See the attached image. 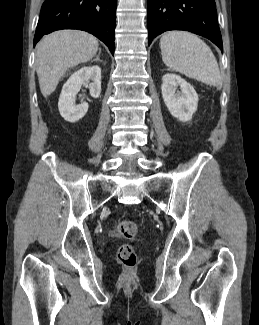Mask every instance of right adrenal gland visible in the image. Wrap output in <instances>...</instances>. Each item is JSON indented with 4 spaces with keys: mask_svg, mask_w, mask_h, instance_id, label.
<instances>
[{
    "mask_svg": "<svg viewBox=\"0 0 259 325\" xmlns=\"http://www.w3.org/2000/svg\"><path fill=\"white\" fill-rule=\"evenodd\" d=\"M100 53H101V51L99 50V53H98L97 57H96L93 61H101L100 58H99ZM93 61H92V62H93Z\"/></svg>",
    "mask_w": 259,
    "mask_h": 325,
    "instance_id": "obj_1",
    "label": "right adrenal gland"
}]
</instances>
